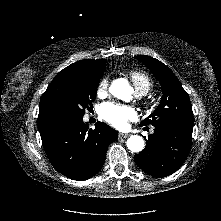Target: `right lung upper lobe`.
Instances as JSON below:
<instances>
[{"label": "right lung upper lobe", "instance_id": "1", "mask_svg": "<svg viewBox=\"0 0 221 221\" xmlns=\"http://www.w3.org/2000/svg\"><path fill=\"white\" fill-rule=\"evenodd\" d=\"M106 61L105 60H93L86 59L82 61L75 62L66 68H73L81 70L85 73L91 75H103L105 71ZM64 122L63 119L52 113L45 105L44 101H40V109L38 115V128L42 131L46 128L56 126Z\"/></svg>", "mask_w": 221, "mask_h": 221}]
</instances>
